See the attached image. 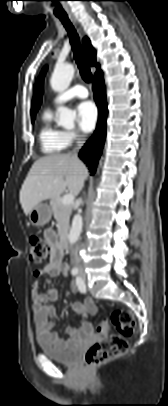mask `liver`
Returning a JSON list of instances; mask_svg holds the SVG:
<instances>
[{"mask_svg":"<svg viewBox=\"0 0 168 406\" xmlns=\"http://www.w3.org/2000/svg\"><path fill=\"white\" fill-rule=\"evenodd\" d=\"M88 170L72 154H52L35 161L20 190L25 215L42 201L59 197L66 188L73 195L81 191Z\"/></svg>","mask_w":168,"mask_h":406,"instance_id":"6515ba94","label":"liver"}]
</instances>
